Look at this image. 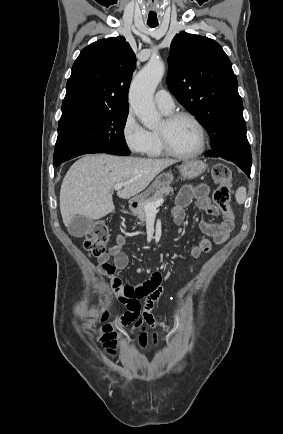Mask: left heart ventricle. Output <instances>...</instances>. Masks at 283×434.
<instances>
[{
	"label": "left heart ventricle",
	"mask_w": 283,
	"mask_h": 434,
	"mask_svg": "<svg viewBox=\"0 0 283 434\" xmlns=\"http://www.w3.org/2000/svg\"><path fill=\"white\" fill-rule=\"evenodd\" d=\"M158 130H166L169 142L177 152L191 153L199 145L197 128L189 119H179L170 126H166L163 121Z\"/></svg>",
	"instance_id": "1"
}]
</instances>
